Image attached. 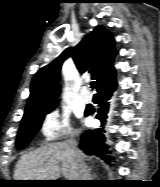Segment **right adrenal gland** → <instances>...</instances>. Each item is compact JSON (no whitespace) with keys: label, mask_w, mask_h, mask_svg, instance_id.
<instances>
[{"label":"right adrenal gland","mask_w":160,"mask_h":187,"mask_svg":"<svg viewBox=\"0 0 160 187\" xmlns=\"http://www.w3.org/2000/svg\"><path fill=\"white\" fill-rule=\"evenodd\" d=\"M91 170H92V168L90 167V168L88 169V176H89V179H90V180H93V179L95 178V175H92V174H91Z\"/></svg>","instance_id":"obj_1"}]
</instances>
